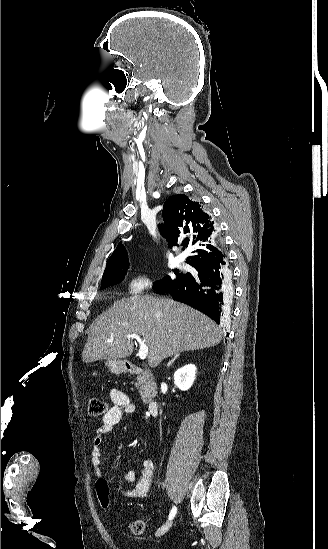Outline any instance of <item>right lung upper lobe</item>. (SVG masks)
Wrapping results in <instances>:
<instances>
[{"instance_id":"cb5924a9","label":"right lung upper lobe","mask_w":328,"mask_h":549,"mask_svg":"<svg viewBox=\"0 0 328 549\" xmlns=\"http://www.w3.org/2000/svg\"><path fill=\"white\" fill-rule=\"evenodd\" d=\"M162 215L164 226L160 225L159 229L169 245H177L178 238H182V246L195 248L194 255L186 260L188 264L194 267L223 258L218 227L212 216L203 211L199 202L185 194L171 196L164 203ZM126 259L127 251L120 242L109 258L105 270Z\"/></svg>"}]
</instances>
